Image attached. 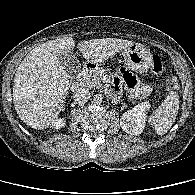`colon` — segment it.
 Returning <instances> with one entry per match:
<instances>
[{"mask_svg": "<svg viewBox=\"0 0 195 195\" xmlns=\"http://www.w3.org/2000/svg\"><path fill=\"white\" fill-rule=\"evenodd\" d=\"M164 70V62L159 55H153L152 57V71L156 74L162 73ZM166 86L168 90L176 92L179 90L180 85L176 77H169L166 80Z\"/></svg>", "mask_w": 195, "mask_h": 195, "instance_id": "colon-1", "label": "colon"}]
</instances>
